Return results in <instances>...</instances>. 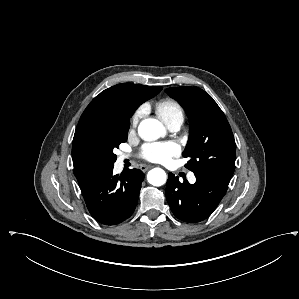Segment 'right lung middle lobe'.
<instances>
[{
  "mask_svg": "<svg viewBox=\"0 0 299 299\" xmlns=\"http://www.w3.org/2000/svg\"><path fill=\"white\" fill-rule=\"evenodd\" d=\"M129 124V117L111 119L74 145L80 183L114 166L117 156L113 150L126 142Z\"/></svg>",
  "mask_w": 299,
  "mask_h": 299,
  "instance_id": "dd1d6c3e",
  "label": "right lung middle lobe"
}]
</instances>
